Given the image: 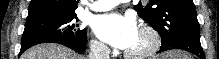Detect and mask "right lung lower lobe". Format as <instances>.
<instances>
[{
  "mask_svg": "<svg viewBox=\"0 0 219 59\" xmlns=\"http://www.w3.org/2000/svg\"><path fill=\"white\" fill-rule=\"evenodd\" d=\"M51 42L65 45V46H67V47H69V48H71L79 53H83L85 51V47H86V44H84V43H79V42L67 40V39L54 40ZM26 49H28V48L21 49L19 55H21Z\"/></svg>",
  "mask_w": 219,
  "mask_h": 59,
  "instance_id": "right-lung-lower-lobe-1",
  "label": "right lung lower lobe"
}]
</instances>
